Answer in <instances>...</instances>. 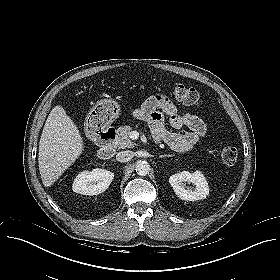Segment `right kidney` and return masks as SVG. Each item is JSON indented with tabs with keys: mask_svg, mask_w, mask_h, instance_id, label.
<instances>
[{
	"mask_svg": "<svg viewBox=\"0 0 280 280\" xmlns=\"http://www.w3.org/2000/svg\"><path fill=\"white\" fill-rule=\"evenodd\" d=\"M114 178V173L105 169L83 171L76 176L72 189L82 195H98L104 192Z\"/></svg>",
	"mask_w": 280,
	"mask_h": 280,
	"instance_id": "right-kidney-1",
	"label": "right kidney"
}]
</instances>
